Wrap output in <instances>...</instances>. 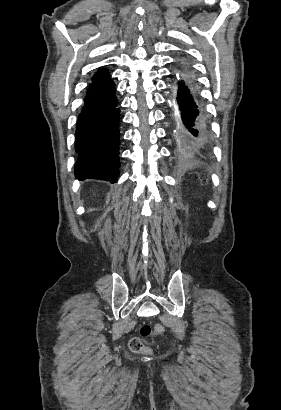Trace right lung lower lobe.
Wrapping results in <instances>:
<instances>
[{
	"label": "right lung lower lobe",
	"mask_w": 281,
	"mask_h": 410,
	"mask_svg": "<svg viewBox=\"0 0 281 410\" xmlns=\"http://www.w3.org/2000/svg\"><path fill=\"white\" fill-rule=\"evenodd\" d=\"M112 80L89 89L75 132V177L117 182L119 175V108Z\"/></svg>",
	"instance_id": "obj_1"
}]
</instances>
